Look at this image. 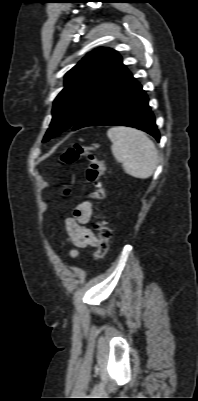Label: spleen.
<instances>
[{
  "instance_id": "spleen-1",
  "label": "spleen",
  "mask_w": 198,
  "mask_h": 401,
  "mask_svg": "<svg viewBox=\"0 0 198 401\" xmlns=\"http://www.w3.org/2000/svg\"><path fill=\"white\" fill-rule=\"evenodd\" d=\"M111 150L124 171L139 179L153 175L158 164V151L153 141L137 129L112 127L107 131Z\"/></svg>"
}]
</instances>
